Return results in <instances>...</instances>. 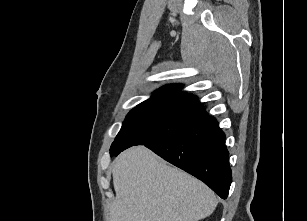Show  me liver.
Instances as JSON below:
<instances>
[{"mask_svg":"<svg viewBox=\"0 0 307 221\" xmlns=\"http://www.w3.org/2000/svg\"><path fill=\"white\" fill-rule=\"evenodd\" d=\"M112 174L116 198L110 221H199L218 203L204 183L167 165L144 146L120 154Z\"/></svg>","mask_w":307,"mask_h":221,"instance_id":"liver-1","label":"liver"}]
</instances>
